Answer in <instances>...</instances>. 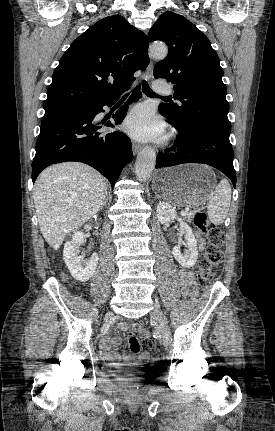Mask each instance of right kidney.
Wrapping results in <instances>:
<instances>
[{
    "label": "right kidney",
    "mask_w": 275,
    "mask_h": 431,
    "mask_svg": "<svg viewBox=\"0 0 275 431\" xmlns=\"http://www.w3.org/2000/svg\"><path fill=\"white\" fill-rule=\"evenodd\" d=\"M89 226L86 225L85 228ZM85 242V235L82 231L74 232L72 240L65 243L63 250V259L71 275L80 282L88 281L94 274L97 264L98 255L93 253L89 259H83L79 255V246Z\"/></svg>",
    "instance_id": "1"
}]
</instances>
